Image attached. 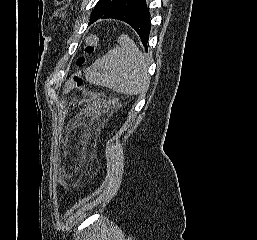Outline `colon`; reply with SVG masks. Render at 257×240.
I'll return each instance as SVG.
<instances>
[{"instance_id":"5ec220e1","label":"colon","mask_w":257,"mask_h":240,"mask_svg":"<svg viewBox=\"0 0 257 240\" xmlns=\"http://www.w3.org/2000/svg\"><path fill=\"white\" fill-rule=\"evenodd\" d=\"M99 47V39L90 35L86 39V49L85 55L78 58L77 64L79 69L72 75L70 80L68 81L65 91H70L75 88H82L83 86V69L87 64V57L91 56L96 52Z\"/></svg>"}]
</instances>
